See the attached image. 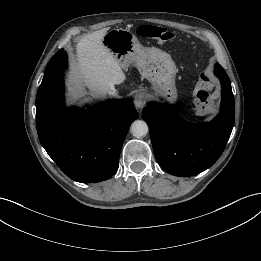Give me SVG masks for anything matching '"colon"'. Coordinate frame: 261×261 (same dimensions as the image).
<instances>
[{
	"label": "colon",
	"instance_id": "colon-1",
	"mask_svg": "<svg viewBox=\"0 0 261 261\" xmlns=\"http://www.w3.org/2000/svg\"><path fill=\"white\" fill-rule=\"evenodd\" d=\"M138 34L144 38L152 39L160 43H168L174 39V34L161 27L142 25L138 28ZM196 97L201 104L204 113L210 114L214 111L212 96L214 95L215 76L208 71L202 72L197 79Z\"/></svg>",
	"mask_w": 261,
	"mask_h": 261
}]
</instances>
